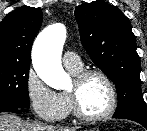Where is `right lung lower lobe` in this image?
<instances>
[{
	"label": "right lung lower lobe",
	"instance_id": "98d812e1",
	"mask_svg": "<svg viewBox=\"0 0 147 131\" xmlns=\"http://www.w3.org/2000/svg\"><path fill=\"white\" fill-rule=\"evenodd\" d=\"M18 109H22L10 104H0V112H17Z\"/></svg>",
	"mask_w": 147,
	"mask_h": 131
}]
</instances>
